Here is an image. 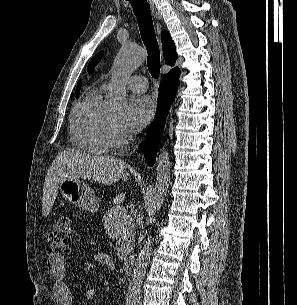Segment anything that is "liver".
Listing matches in <instances>:
<instances>
[{
    "label": "liver",
    "instance_id": "obj_1",
    "mask_svg": "<svg viewBox=\"0 0 297 305\" xmlns=\"http://www.w3.org/2000/svg\"><path fill=\"white\" fill-rule=\"evenodd\" d=\"M127 164L119 159L102 155L85 154L77 150L60 152L47 171L43 187L42 214L46 217L54 204L58 186L65 178H87L99 184L112 185L125 172ZM124 194L116 196L121 203Z\"/></svg>",
    "mask_w": 297,
    "mask_h": 305
}]
</instances>
